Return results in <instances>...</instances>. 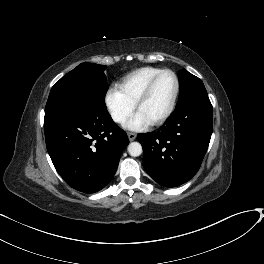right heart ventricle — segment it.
<instances>
[{"instance_id": "right-heart-ventricle-1", "label": "right heart ventricle", "mask_w": 264, "mask_h": 264, "mask_svg": "<svg viewBox=\"0 0 264 264\" xmlns=\"http://www.w3.org/2000/svg\"><path fill=\"white\" fill-rule=\"evenodd\" d=\"M161 70L156 67L139 68L124 76L118 87L135 104L150 79Z\"/></svg>"}]
</instances>
